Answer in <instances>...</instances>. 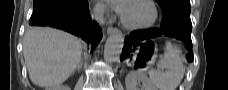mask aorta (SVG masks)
Masks as SVG:
<instances>
[{
	"label": "aorta",
	"instance_id": "obj_1",
	"mask_svg": "<svg viewBox=\"0 0 228 90\" xmlns=\"http://www.w3.org/2000/svg\"><path fill=\"white\" fill-rule=\"evenodd\" d=\"M123 42V36L120 32H116L109 36L104 47V60L106 62H116L120 58Z\"/></svg>",
	"mask_w": 228,
	"mask_h": 90
}]
</instances>
